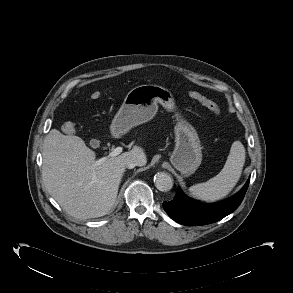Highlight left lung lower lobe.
Here are the masks:
<instances>
[{
	"mask_svg": "<svg viewBox=\"0 0 293 293\" xmlns=\"http://www.w3.org/2000/svg\"><path fill=\"white\" fill-rule=\"evenodd\" d=\"M249 185L246 182L240 192L231 198L214 204H202L187 199L180 190L170 202H164L163 208L171 219L187 226L206 225L235 211L241 204Z\"/></svg>",
	"mask_w": 293,
	"mask_h": 293,
	"instance_id": "0a47b994",
	"label": "left lung lower lobe"
}]
</instances>
